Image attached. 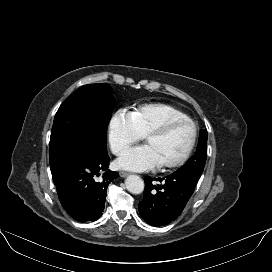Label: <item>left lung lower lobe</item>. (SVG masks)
Segmentation results:
<instances>
[{
    "instance_id": "1",
    "label": "left lung lower lobe",
    "mask_w": 272,
    "mask_h": 272,
    "mask_svg": "<svg viewBox=\"0 0 272 272\" xmlns=\"http://www.w3.org/2000/svg\"><path fill=\"white\" fill-rule=\"evenodd\" d=\"M200 176L193 172L177 171L163 178L152 179L147 176L144 197L138 207L142 218L152 226L171 223L186 206Z\"/></svg>"
}]
</instances>
